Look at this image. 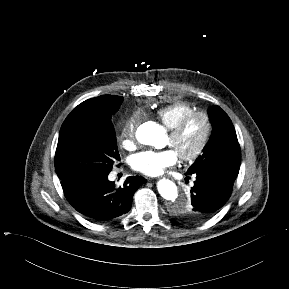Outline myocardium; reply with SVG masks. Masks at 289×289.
<instances>
[{"label": "myocardium", "mask_w": 289, "mask_h": 289, "mask_svg": "<svg viewBox=\"0 0 289 289\" xmlns=\"http://www.w3.org/2000/svg\"><path fill=\"white\" fill-rule=\"evenodd\" d=\"M195 117H200L203 119L204 121V126H205V130H204V134L203 137L199 143V145L189 154H183V155H179L180 159L183 161H194L196 160L198 157H200L202 155V153L205 151L210 137H211V133H212V121L210 116L203 111H193L190 112L186 115H184L171 129H170V136L175 139L177 138L181 132L183 131V129L185 128V126L188 124V122L195 118Z\"/></svg>", "instance_id": "obj_1"}]
</instances>
